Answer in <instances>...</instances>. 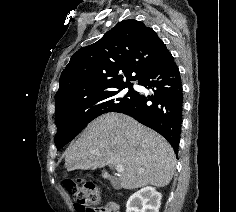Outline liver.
I'll return each instance as SVG.
<instances>
[{
  "mask_svg": "<svg viewBox=\"0 0 236 212\" xmlns=\"http://www.w3.org/2000/svg\"><path fill=\"white\" fill-rule=\"evenodd\" d=\"M98 150L100 155L91 154ZM123 165L118 182L125 189L147 185L165 187L173 177L176 159L171 145L132 117L106 113L93 120L68 148L67 171Z\"/></svg>",
  "mask_w": 236,
  "mask_h": 212,
  "instance_id": "6515ba94",
  "label": "liver"
}]
</instances>
